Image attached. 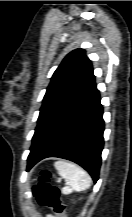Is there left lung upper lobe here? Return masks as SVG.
<instances>
[{"label": "left lung upper lobe", "instance_id": "left-lung-upper-lobe-1", "mask_svg": "<svg viewBox=\"0 0 132 217\" xmlns=\"http://www.w3.org/2000/svg\"><path fill=\"white\" fill-rule=\"evenodd\" d=\"M94 80L92 64L86 57L85 50L76 49L63 59L44 96L30 149L53 120L93 84Z\"/></svg>", "mask_w": 132, "mask_h": 217}]
</instances>
